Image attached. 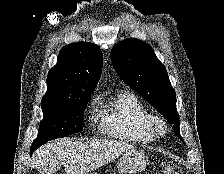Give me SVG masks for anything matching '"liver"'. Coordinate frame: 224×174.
Masks as SVG:
<instances>
[{
  "mask_svg": "<svg viewBox=\"0 0 224 174\" xmlns=\"http://www.w3.org/2000/svg\"><path fill=\"white\" fill-rule=\"evenodd\" d=\"M133 148L132 145L115 140L64 138L37 149L32 165L41 174H53L61 165L66 174H89Z\"/></svg>",
  "mask_w": 224,
  "mask_h": 174,
  "instance_id": "obj_1",
  "label": "liver"
}]
</instances>
